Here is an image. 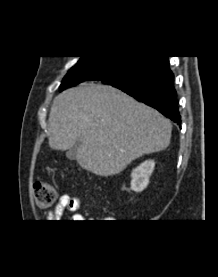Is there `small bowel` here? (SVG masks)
Wrapping results in <instances>:
<instances>
[{
    "label": "small bowel",
    "instance_id": "1",
    "mask_svg": "<svg viewBox=\"0 0 218 277\" xmlns=\"http://www.w3.org/2000/svg\"><path fill=\"white\" fill-rule=\"evenodd\" d=\"M79 207L80 199L78 197L72 196L68 193H63L62 195H60L56 206L47 213L46 220L47 222H57L61 219V217L66 211L73 213L72 218L74 220H83L84 217L82 215L75 214Z\"/></svg>",
    "mask_w": 218,
    "mask_h": 277
}]
</instances>
